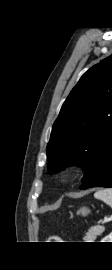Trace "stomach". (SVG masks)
Returning a JSON list of instances; mask_svg holds the SVG:
<instances>
[{
	"instance_id": "obj_1",
	"label": "stomach",
	"mask_w": 112,
	"mask_h": 270,
	"mask_svg": "<svg viewBox=\"0 0 112 270\" xmlns=\"http://www.w3.org/2000/svg\"><path fill=\"white\" fill-rule=\"evenodd\" d=\"M89 212H90L89 209L86 208V207H82V208L78 211V213L81 214V215H83V216H86Z\"/></svg>"
}]
</instances>
